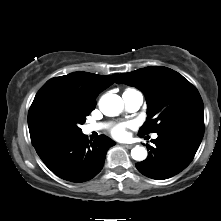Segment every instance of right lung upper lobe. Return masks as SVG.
I'll return each mask as SVG.
<instances>
[{"instance_id": "cb5924a9", "label": "right lung upper lobe", "mask_w": 221, "mask_h": 221, "mask_svg": "<svg viewBox=\"0 0 221 221\" xmlns=\"http://www.w3.org/2000/svg\"><path fill=\"white\" fill-rule=\"evenodd\" d=\"M117 75L104 76L88 72H74L52 78L37 92L30 108L45 98L59 97L92 111L95 109V99L98 94L113 84Z\"/></svg>"}]
</instances>
